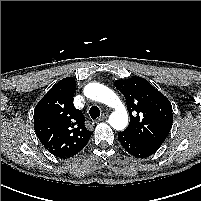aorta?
<instances>
[{"mask_svg":"<svg viewBox=\"0 0 201 201\" xmlns=\"http://www.w3.org/2000/svg\"><path fill=\"white\" fill-rule=\"evenodd\" d=\"M86 97L103 103L115 111L109 117V124L114 129L124 130L128 124V114L125 106L114 91L100 83H90L84 88Z\"/></svg>","mask_w":201,"mask_h":201,"instance_id":"762f6f07","label":"aorta"}]
</instances>
